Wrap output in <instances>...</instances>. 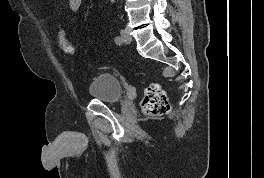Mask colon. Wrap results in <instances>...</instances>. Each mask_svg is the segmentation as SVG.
Segmentation results:
<instances>
[{
  "label": "colon",
  "instance_id": "obj_1",
  "mask_svg": "<svg viewBox=\"0 0 264 178\" xmlns=\"http://www.w3.org/2000/svg\"><path fill=\"white\" fill-rule=\"evenodd\" d=\"M57 39L63 52L69 55L75 54V47L68 40L65 31L61 27L57 30ZM142 108L146 114L152 116H161L170 111L167 94L159 84L153 83L145 90Z\"/></svg>",
  "mask_w": 264,
  "mask_h": 178
}]
</instances>
